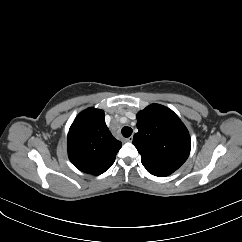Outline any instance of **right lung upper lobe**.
Masks as SVG:
<instances>
[{
	"label": "right lung upper lobe",
	"mask_w": 242,
	"mask_h": 242,
	"mask_svg": "<svg viewBox=\"0 0 242 242\" xmlns=\"http://www.w3.org/2000/svg\"><path fill=\"white\" fill-rule=\"evenodd\" d=\"M104 111L88 108L82 111L68 133V156L80 171L99 175L114 163L122 144L116 140L104 121Z\"/></svg>",
	"instance_id": "right-lung-upper-lobe-1"
}]
</instances>
